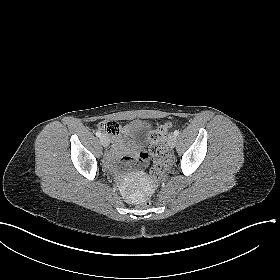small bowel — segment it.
<instances>
[{
  "label": "small bowel",
  "mask_w": 280,
  "mask_h": 280,
  "mask_svg": "<svg viewBox=\"0 0 280 280\" xmlns=\"http://www.w3.org/2000/svg\"><path fill=\"white\" fill-rule=\"evenodd\" d=\"M118 157L127 165L146 166L149 155L145 151H138L136 148L129 149L117 142L115 148L108 152L106 163L111 166Z\"/></svg>",
  "instance_id": "1"
}]
</instances>
